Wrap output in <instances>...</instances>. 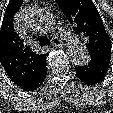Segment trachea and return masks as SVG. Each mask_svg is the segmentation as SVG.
Segmentation results:
<instances>
[{
  "label": "trachea",
  "mask_w": 113,
  "mask_h": 113,
  "mask_svg": "<svg viewBox=\"0 0 113 113\" xmlns=\"http://www.w3.org/2000/svg\"><path fill=\"white\" fill-rule=\"evenodd\" d=\"M39 44H40L41 47H43L45 45H50V40L45 36H41L39 38Z\"/></svg>",
  "instance_id": "trachea-1"
}]
</instances>
